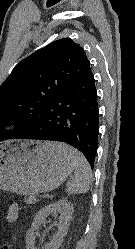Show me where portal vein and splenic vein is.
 Instances as JSON below:
<instances>
[{"instance_id":"1","label":"portal vein and splenic vein","mask_w":135,"mask_h":249,"mask_svg":"<svg viewBox=\"0 0 135 249\" xmlns=\"http://www.w3.org/2000/svg\"><path fill=\"white\" fill-rule=\"evenodd\" d=\"M45 196H47V195L46 194L42 195V197H45Z\"/></svg>"}]
</instances>
